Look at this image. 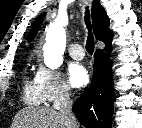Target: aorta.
Returning a JSON list of instances; mask_svg holds the SVG:
<instances>
[{"instance_id":"aorta-1","label":"aorta","mask_w":142,"mask_h":128,"mask_svg":"<svg viewBox=\"0 0 142 128\" xmlns=\"http://www.w3.org/2000/svg\"><path fill=\"white\" fill-rule=\"evenodd\" d=\"M67 24V16L59 14L46 29V43L43 51L45 64L51 69H57L63 63V53L66 47L65 26Z\"/></svg>"}]
</instances>
